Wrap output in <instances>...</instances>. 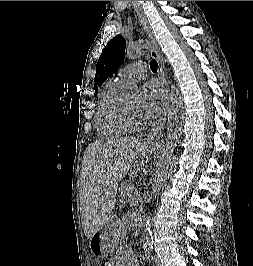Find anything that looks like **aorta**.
I'll return each instance as SVG.
<instances>
[{"label":"aorta","instance_id":"762f6f07","mask_svg":"<svg viewBox=\"0 0 253 266\" xmlns=\"http://www.w3.org/2000/svg\"><path fill=\"white\" fill-rule=\"evenodd\" d=\"M148 44L143 41L135 42L130 44L126 48V57L130 60H135L147 52ZM173 92L171 94V103L168 111L167 118V138L163 146L161 154L158 158L157 168L152 184L151 194L153 198H156L161 187L166 181L172 162V157L174 154L176 143L178 142L183 128L184 122V107L182 104L181 96L178 89L172 85ZM132 91L136 92L137 88L132 87ZM143 225V239L146 244L152 243V235L150 232V216L144 219Z\"/></svg>","mask_w":253,"mask_h":266}]
</instances>
